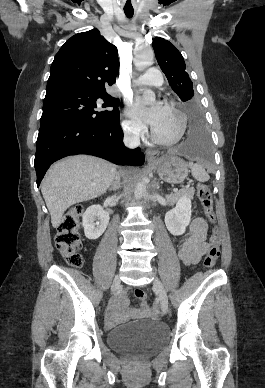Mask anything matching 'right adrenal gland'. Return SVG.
<instances>
[{
  "label": "right adrenal gland",
  "instance_id": "1",
  "mask_svg": "<svg viewBox=\"0 0 265 388\" xmlns=\"http://www.w3.org/2000/svg\"><path fill=\"white\" fill-rule=\"evenodd\" d=\"M116 182H117V184H116ZM116 182H114V184H112L111 188H109V192H111V190H114V192H115V190H118V188H120L119 180H116Z\"/></svg>",
  "mask_w": 265,
  "mask_h": 388
}]
</instances>
